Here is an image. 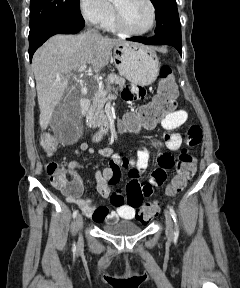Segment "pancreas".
<instances>
[{"label": "pancreas", "mask_w": 240, "mask_h": 288, "mask_svg": "<svg viewBox=\"0 0 240 288\" xmlns=\"http://www.w3.org/2000/svg\"><path fill=\"white\" fill-rule=\"evenodd\" d=\"M106 81L108 84H117L120 87L125 84V79L115 73L108 75ZM108 99L109 97L107 96V92L104 90V85L99 83L98 90L93 98L92 105L87 112L86 117L88 119H97L100 117L103 114V107Z\"/></svg>", "instance_id": "obj_1"}]
</instances>
